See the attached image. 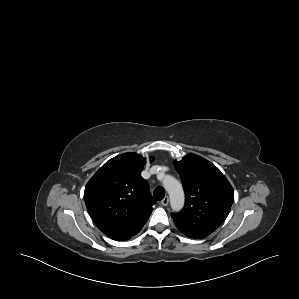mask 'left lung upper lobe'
<instances>
[{
    "instance_id": "left-lung-upper-lobe-1",
    "label": "left lung upper lobe",
    "mask_w": 299,
    "mask_h": 299,
    "mask_svg": "<svg viewBox=\"0 0 299 299\" xmlns=\"http://www.w3.org/2000/svg\"><path fill=\"white\" fill-rule=\"evenodd\" d=\"M185 191V206L172 218L188 235L207 236L226 219L234 191L222 172L211 162L193 154L175 161Z\"/></svg>"
}]
</instances>
